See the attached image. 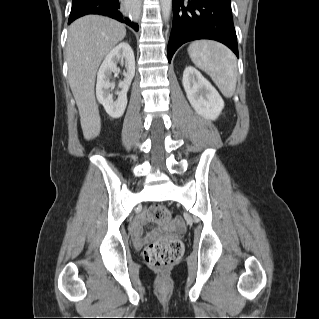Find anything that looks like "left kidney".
Returning <instances> with one entry per match:
<instances>
[{
    "label": "left kidney",
    "instance_id": "obj_1",
    "mask_svg": "<svg viewBox=\"0 0 319 319\" xmlns=\"http://www.w3.org/2000/svg\"><path fill=\"white\" fill-rule=\"evenodd\" d=\"M182 82L194 110L206 119L216 120L224 108V101L211 83L192 66L185 68Z\"/></svg>",
    "mask_w": 319,
    "mask_h": 319
}]
</instances>
